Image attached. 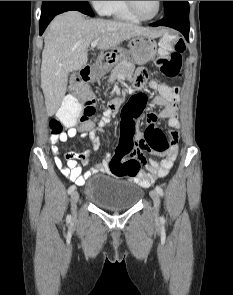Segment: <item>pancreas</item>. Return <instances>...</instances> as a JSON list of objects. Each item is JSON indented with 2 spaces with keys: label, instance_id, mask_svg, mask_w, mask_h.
I'll list each match as a JSON object with an SVG mask.
<instances>
[{
  "label": "pancreas",
  "instance_id": "cf45deb5",
  "mask_svg": "<svg viewBox=\"0 0 233 295\" xmlns=\"http://www.w3.org/2000/svg\"><path fill=\"white\" fill-rule=\"evenodd\" d=\"M135 70V65L126 58L120 60L111 70L108 82H113L118 78H131Z\"/></svg>",
  "mask_w": 233,
  "mask_h": 295
}]
</instances>
